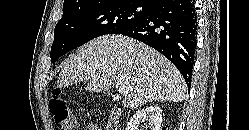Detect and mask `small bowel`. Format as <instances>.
<instances>
[{
  "mask_svg": "<svg viewBox=\"0 0 249 130\" xmlns=\"http://www.w3.org/2000/svg\"><path fill=\"white\" fill-rule=\"evenodd\" d=\"M84 130H102V129L99 128L97 125L89 124L86 126V128Z\"/></svg>",
  "mask_w": 249,
  "mask_h": 130,
  "instance_id": "obj_1",
  "label": "small bowel"
}]
</instances>
